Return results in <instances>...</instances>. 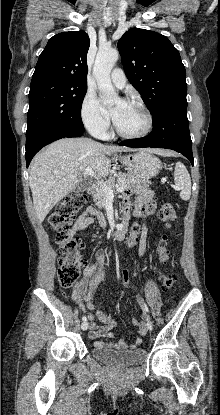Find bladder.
Here are the masks:
<instances>
[{"instance_id":"obj_1","label":"bladder","mask_w":220,"mask_h":415,"mask_svg":"<svg viewBox=\"0 0 220 415\" xmlns=\"http://www.w3.org/2000/svg\"><path fill=\"white\" fill-rule=\"evenodd\" d=\"M93 356L101 362L115 367H130L141 364L146 358L144 349L115 351L108 347L93 346Z\"/></svg>"}]
</instances>
